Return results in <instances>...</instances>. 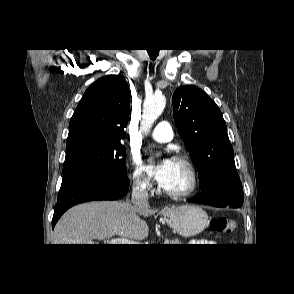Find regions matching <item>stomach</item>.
I'll return each instance as SVG.
<instances>
[{
	"instance_id": "stomach-1",
	"label": "stomach",
	"mask_w": 294,
	"mask_h": 294,
	"mask_svg": "<svg viewBox=\"0 0 294 294\" xmlns=\"http://www.w3.org/2000/svg\"><path fill=\"white\" fill-rule=\"evenodd\" d=\"M163 216L167 224L184 237L195 236L208 225L207 213L196 205L167 208Z\"/></svg>"
}]
</instances>
